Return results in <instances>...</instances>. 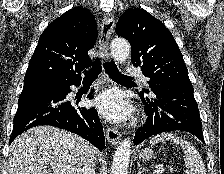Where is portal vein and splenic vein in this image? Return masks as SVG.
Here are the masks:
<instances>
[{"instance_id": "18ae733b", "label": "portal vein and splenic vein", "mask_w": 224, "mask_h": 174, "mask_svg": "<svg viewBox=\"0 0 224 174\" xmlns=\"http://www.w3.org/2000/svg\"><path fill=\"white\" fill-rule=\"evenodd\" d=\"M165 172V168L164 167H157L155 170H154V174H162Z\"/></svg>"}]
</instances>
